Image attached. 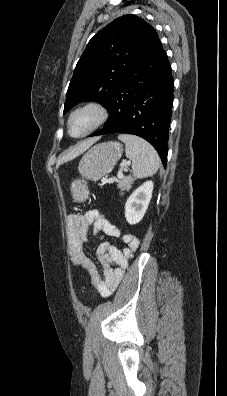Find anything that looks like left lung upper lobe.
<instances>
[{
  "label": "left lung upper lobe",
  "mask_w": 227,
  "mask_h": 396,
  "mask_svg": "<svg viewBox=\"0 0 227 396\" xmlns=\"http://www.w3.org/2000/svg\"><path fill=\"white\" fill-rule=\"evenodd\" d=\"M159 41L154 28L136 15L112 21L89 41L80 57L63 113L83 101L106 107L127 74Z\"/></svg>",
  "instance_id": "left-lung-upper-lobe-1"
}]
</instances>
